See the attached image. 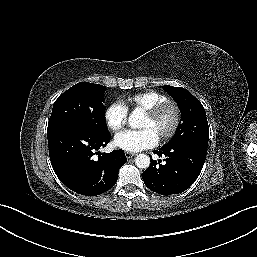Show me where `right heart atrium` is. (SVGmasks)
<instances>
[{"instance_id": "1", "label": "right heart atrium", "mask_w": 257, "mask_h": 257, "mask_svg": "<svg viewBox=\"0 0 257 257\" xmlns=\"http://www.w3.org/2000/svg\"><path fill=\"white\" fill-rule=\"evenodd\" d=\"M128 109L121 101L112 102L104 112L107 127L114 133L120 132L127 123Z\"/></svg>"}]
</instances>
